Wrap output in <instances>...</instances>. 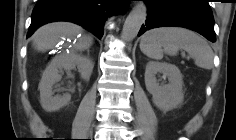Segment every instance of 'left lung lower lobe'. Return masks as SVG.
<instances>
[{"label":"left lung lower lobe","instance_id":"obj_1","mask_svg":"<svg viewBox=\"0 0 236 140\" xmlns=\"http://www.w3.org/2000/svg\"><path fill=\"white\" fill-rule=\"evenodd\" d=\"M148 17L138 36L145 31L166 26L192 29L215 42L214 18L208 0H145Z\"/></svg>","mask_w":236,"mask_h":140}]
</instances>
